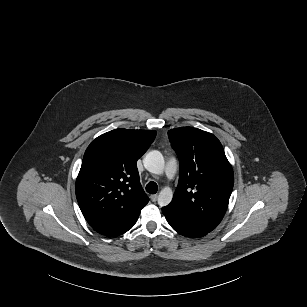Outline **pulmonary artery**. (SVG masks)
<instances>
[{
  "instance_id": "1",
  "label": "pulmonary artery",
  "mask_w": 307,
  "mask_h": 307,
  "mask_svg": "<svg viewBox=\"0 0 307 307\" xmlns=\"http://www.w3.org/2000/svg\"><path fill=\"white\" fill-rule=\"evenodd\" d=\"M177 171L176 166H174L172 163H169L167 166V173L166 176L168 179H173Z\"/></svg>"
}]
</instances>
